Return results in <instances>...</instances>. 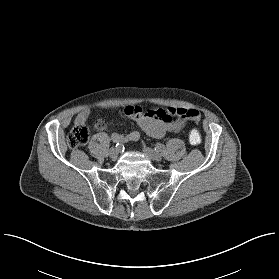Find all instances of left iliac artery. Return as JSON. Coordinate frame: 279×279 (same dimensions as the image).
Here are the masks:
<instances>
[{
    "label": "left iliac artery",
    "instance_id": "44dca946",
    "mask_svg": "<svg viewBox=\"0 0 279 279\" xmlns=\"http://www.w3.org/2000/svg\"><path fill=\"white\" fill-rule=\"evenodd\" d=\"M164 149H165V146L163 144H161V143L156 144L157 151H164Z\"/></svg>",
    "mask_w": 279,
    "mask_h": 279
}]
</instances>
